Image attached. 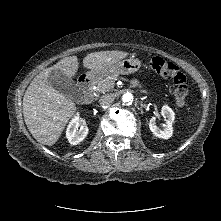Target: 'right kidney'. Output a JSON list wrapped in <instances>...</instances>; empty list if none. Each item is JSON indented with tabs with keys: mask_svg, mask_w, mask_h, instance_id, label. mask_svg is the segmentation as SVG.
I'll return each instance as SVG.
<instances>
[{
	"mask_svg": "<svg viewBox=\"0 0 221 221\" xmlns=\"http://www.w3.org/2000/svg\"><path fill=\"white\" fill-rule=\"evenodd\" d=\"M88 127L85 122L80 123L79 118L75 117L69 123L66 130V137L70 144L77 145L85 139L88 134Z\"/></svg>",
	"mask_w": 221,
	"mask_h": 221,
	"instance_id": "1",
	"label": "right kidney"
}]
</instances>
